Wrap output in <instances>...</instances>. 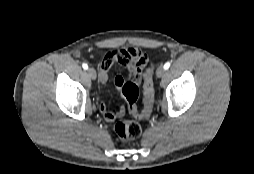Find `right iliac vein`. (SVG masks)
<instances>
[{
	"label": "right iliac vein",
	"mask_w": 254,
	"mask_h": 174,
	"mask_svg": "<svg viewBox=\"0 0 254 174\" xmlns=\"http://www.w3.org/2000/svg\"><path fill=\"white\" fill-rule=\"evenodd\" d=\"M87 73H88V75L90 76V78L92 79V80H95L96 79V71L93 69V68H88L87 69Z\"/></svg>",
	"instance_id": "obj_1"
}]
</instances>
